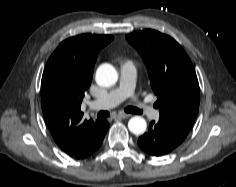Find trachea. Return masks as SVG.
<instances>
[{
	"instance_id": "obj_1",
	"label": "trachea",
	"mask_w": 236,
	"mask_h": 187,
	"mask_svg": "<svg viewBox=\"0 0 236 187\" xmlns=\"http://www.w3.org/2000/svg\"><path fill=\"white\" fill-rule=\"evenodd\" d=\"M125 112L127 113H132V114H141L142 112L135 108V107H127L125 108ZM110 114L108 111H100L98 114H97V118L100 119V118H106L108 117Z\"/></svg>"
}]
</instances>
